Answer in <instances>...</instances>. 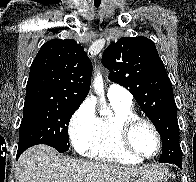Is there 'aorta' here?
Wrapping results in <instances>:
<instances>
[{
	"instance_id": "1",
	"label": "aorta",
	"mask_w": 196,
	"mask_h": 182,
	"mask_svg": "<svg viewBox=\"0 0 196 182\" xmlns=\"http://www.w3.org/2000/svg\"><path fill=\"white\" fill-rule=\"evenodd\" d=\"M93 87H94L96 93L99 94L100 101L105 103L104 86H103V79H102L101 75H97V77H95L94 82H93ZM100 115L110 116V115H112V111L109 110L108 108H104L100 111Z\"/></svg>"
}]
</instances>
